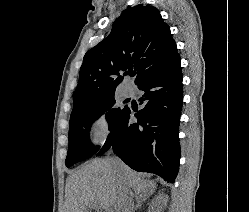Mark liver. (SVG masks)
<instances>
[{"label":"liver","instance_id":"obj_1","mask_svg":"<svg viewBox=\"0 0 249 212\" xmlns=\"http://www.w3.org/2000/svg\"><path fill=\"white\" fill-rule=\"evenodd\" d=\"M119 176L126 180L130 196L148 198L156 188L153 180H144L142 174L134 172L125 164H112L111 160H91L70 172L66 180L67 212H88L93 202L100 208H111V212H121Z\"/></svg>","mask_w":249,"mask_h":212}]
</instances>
